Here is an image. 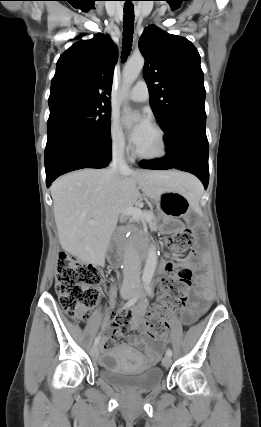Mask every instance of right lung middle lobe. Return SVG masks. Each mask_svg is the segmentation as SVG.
<instances>
[{
	"label": "right lung middle lobe",
	"mask_w": 261,
	"mask_h": 427,
	"mask_svg": "<svg viewBox=\"0 0 261 427\" xmlns=\"http://www.w3.org/2000/svg\"><path fill=\"white\" fill-rule=\"evenodd\" d=\"M110 106L67 104L50 109L48 138L68 134L89 139L110 137Z\"/></svg>",
	"instance_id": "1"
}]
</instances>
